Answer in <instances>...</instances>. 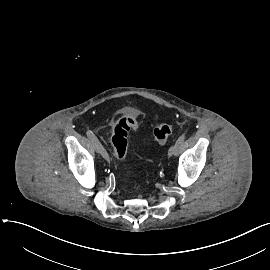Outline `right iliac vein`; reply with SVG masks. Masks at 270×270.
Instances as JSON below:
<instances>
[{
	"instance_id": "63e3f726",
	"label": "right iliac vein",
	"mask_w": 270,
	"mask_h": 270,
	"mask_svg": "<svg viewBox=\"0 0 270 270\" xmlns=\"http://www.w3.org/2000/svg\"><path fill=\"white\" fill-rule=\"evenodd\" d=\"M91 143H92V146H93L94 150H95L97 153H101V152H100V148H99V144H98L96 141H93V140H91Z\"/></svg>"
}]
</instances>
